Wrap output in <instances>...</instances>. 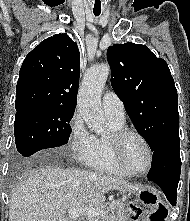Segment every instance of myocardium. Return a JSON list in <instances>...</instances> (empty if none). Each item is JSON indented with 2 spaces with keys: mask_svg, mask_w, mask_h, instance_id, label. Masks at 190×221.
Returning a JSON list of instances; mask_svg holds the SVG:
<instances>
[{
  "mask_svg": "<svg viewBox=\"0 0 190 221\" xmlns=\"http://www.w3.org/2000/svg\"><path fill=\"white\" fill-rule=\"evenodd\" d=\"M129 136H134V137H137L139 140H141L148 151L149 161H148L147 168L144 171H141V172L133 171L132 169H130L127 166V164L124 161L123 145H124L125 140ZM111 146H112V151H113V154H114L117 164L127 174H129L131 176H143V175H146L151 170V168L153 166V162H154V152H153L152 146L149 143V141L147 140V138L143 134L138 132L137 130L123 128V129L113 133L111 136Z\"/></svg>",
  "mask_w": 190,
  "mask_h": 221,
  "instance_id": "f54148a6",
  "label": "myocardium"
}]
</instances>
